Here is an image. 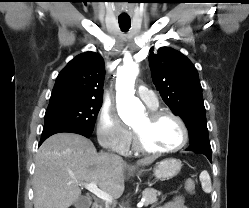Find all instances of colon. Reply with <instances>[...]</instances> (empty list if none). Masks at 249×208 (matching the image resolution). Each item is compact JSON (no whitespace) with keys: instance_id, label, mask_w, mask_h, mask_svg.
<instances>
[{"instance_id":"obj_1","label":"colon","mask_w":249,"mask_h":208,"mask_svg":"<svg viewBox=\"0 0 249 208\" xmlns=\"http://www.w3.org/2000/svg\"><path fill=\"white\" fill-rule=\"evenodd\" d=\"M185 189L189 194H194L196 189L195 182L191 179L187 180L185 183Z\"/></svg>"}]
</instances>
